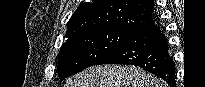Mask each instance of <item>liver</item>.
Listing matches in <instances>:
<instances>
[{
    "label": "liver",
    "mask_w": 205,
    "mask_h": 87,
    "mask_svg": "<svg viewBox=\"0 0 205 87\" xmlns=\"http://www.w3.org/2000/svg\"><path fill=\"white\" fill-rule=\"evenodd\" d=\"M64 87H163L152 74L132 66H91L69 78Z\"/></svg>",
    "instance_id": "liver-1"
}]
</instances>
